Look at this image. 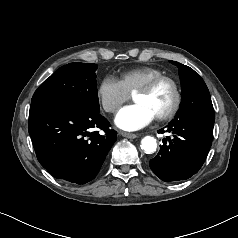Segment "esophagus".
I'll list each match as a JSON object with an SVG mask.
<instances>
[{"instance_id": "esophagus-1", "label": "esophagus", "mask_w": 238, "mask_h": 238, "mask_svg": "<svg viewBox=\"0 0 238 238\" xmlns=\"http://www.w3.org/2000/svg\"><path fill=\"white\" fill-rule=\"evenodd\" d=\"M119 133H120V135H122L123 137L131 138V139H134V138H136V137L138 136L137 134L129 133V132H123V131H120Z\"/></svg>"}]
</instances>
